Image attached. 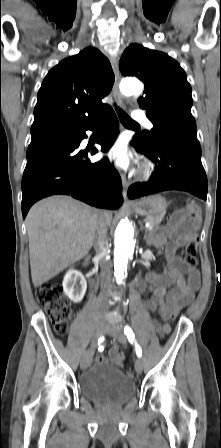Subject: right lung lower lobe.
Wrapping results in <instances>:
<instances>
[{
    "mask_svg": "<svg viewBox=\"0 0 221 448\" xmlns=\"http://www.w3.org/2000/svg\"><path fill=\"white\" fill-rule=\"evenodd\" d=\"M97 127L100 133L96 142L106 151L113 145L119 129L111 107L84 127L29 145L22 178L23 218L33 203L53 194H68L102 208L117 209L122 205L118 172L107 158L90 162L88 155L97 153L96 148L79 149L87 137L86 131Z\"/></svg>",
    "mask_w": 221,
    "mask_h": 448,
    "instance_id": "98d812e1",
    "label": "right lung lower lobe"
}]
</instances>
